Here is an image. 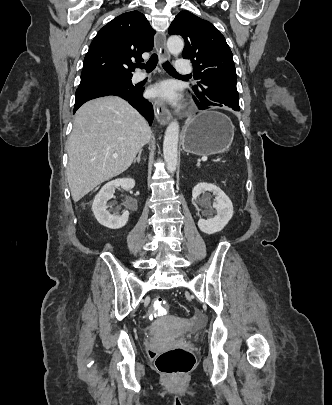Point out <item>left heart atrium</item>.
I'll list each match as a JSON object with an SVG mask.
<instances>
[{"label": "left heart atrium", "mask_w": 332, "mask_h": 405, "mask_svg": "<svg viewBox=\"0 0 332 405\" xmlns=\"http://www.w3.org/2000/svg\"><path fill=\"white\" fill-rule=\"evenodd\" d=\"M149 94L153 97L174 103L178 100V94L176 93L173 85L170 82H161L153 86L149 90Z\"/></svg>", "instance_id": "left-heart-atrium-1"}]
</instances>
